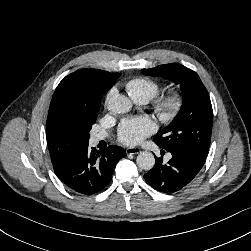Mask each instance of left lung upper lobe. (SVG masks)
I'll list each match as a JSON object with an SVG mask.
<instances>
[{
    "instance_id": "obj_1",
    "label": "left lung upper lobe",
    "mask_w": 251,
    "mask_h": 251,
    "mask_svg": "<svg viewBox=\"0 0 251 251\" xmlns=\"http://www.w3.org/2000/svg\"><path fill=\"white\" fill-rule=\"evenodd\" d=\"M142 71L146 75L166 77L180 84L183 93L179 113L158 132L154 142L165 150L185 147L206 156L211 141L213 111L209 94L198 74L178 63Z\"/></svg>"
}]
</instances>
